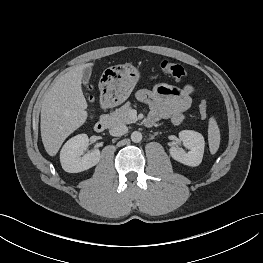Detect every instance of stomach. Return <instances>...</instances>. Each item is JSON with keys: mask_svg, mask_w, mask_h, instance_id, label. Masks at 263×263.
<instances>
[{"mask_svg": "<svg viewBox=\"0 0 263 263\" xmlns=\"http://www.w3.org/2000/svg\"><path fill=\"white\" fill-rule=\"evenodd\" d=\"M139 78V70L131 64L107 68L101 80L104 101L111 106L123 103L130 96Z\"/></svg>", "mask_w": 263, "mask_h": 263, "instance_id": "obj_1", "label": "stomach"}]
</instances>
